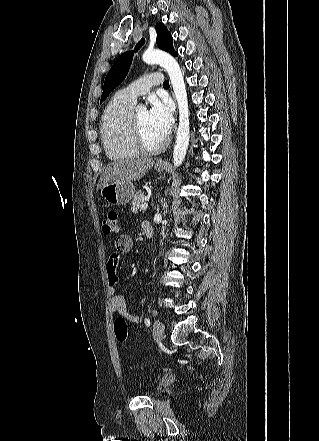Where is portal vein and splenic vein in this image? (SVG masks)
I'll list each match as a JSON object with an SVG mask.
<instances>
[{"mask_svg":"<svg viewBox=\"0 0 319 441\" xmlns=\"http://www.w3.org/2000/svg\"><path fill=\"white\" fill-rule=\"evenodd\" d=\"M147 207H148V203H147V202H146V203H143V204L141 205V210H145Z\"/></svg>","mask_w":319,"mask_h":441,"instance_id":"portal-vein-and-splenic-vein-1","label":"portal vein and splenic vein"}]
</instances>
